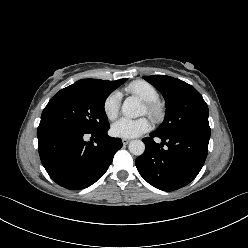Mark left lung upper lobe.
<instances>
[{"label": "left lung upper lobe", "instance_id": "left-lung-upper-lobe-1", "mask_svg": "<svg viewBox=\"0 0 248 248\" xmlns=\"http://www.w3.org/2000/svg\"><path fill=\"white\" fill-rule=\"evenodd\" d=\"M143 78L154 85L166 101L165 119L154 131L157 135L167 137L184 129L209 127L208 106L194 87L170 76Z\"/></svg>", "mask_w": 248, "mask_h": 248}]
</instances>
